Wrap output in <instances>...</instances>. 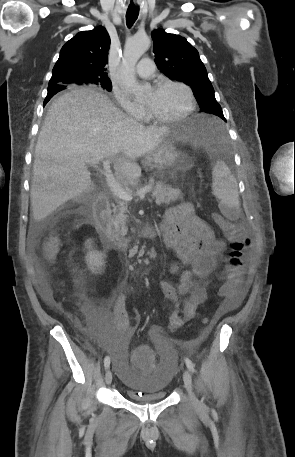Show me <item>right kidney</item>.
<instances>
[{
	"instance_id": "right-kidney-1",
	"label": "right kidney",
	"mask_w": 295,
	"mask_h": 457,
	"mask_svg": "<svg viewBox=\"0 0 295 457\" xmlns=\"http://www.w3.org/2000/svg\"><path fill=\"white\" fill-rule=\"evenodd\" d=\"M86 244H87L88 248H91V240H88L86 242ZM86 260H87L88 267L91 270H94L95 269L94 267H97V269H100L104 265L103 256L97 250L89 251L86 256Z\"/></svg>"
}]
</instances>
